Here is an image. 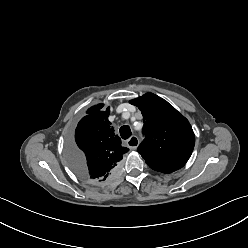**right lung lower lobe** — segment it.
<instances>
[{
	"mask_svg": "<svg viewBox=\"0 0 248 248\" xmlns=\"http://www.w3.org/2000/svg\"><path fill=\"white\" fill-rule=\"evenodd\" d=\"M81 161H82V154H81V152H80V156L76 158V161H75V162H76V166H77L78 172H79L78 175H79L80 177L84 178L83 175H82V173H81ZM118 168H119V166L116 167L115 169H113V170H112L107 176H105L103 179H92L91 181L94 182V183L107 181V180H109L110 178H112V177L117 173ZM84 179H85V178H84Z\"/></svg>",
	"mask_w": 248,
	"mask_h": 248,
	"instance_id": "98d812e1",
	"label": "right lung lower lobe"
}]
</instances>
